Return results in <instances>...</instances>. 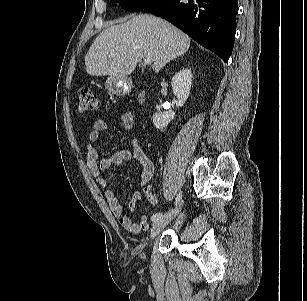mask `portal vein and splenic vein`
I'll return each mask as SVG.
<instances>
[{"instance_id":"1","label":"portal vein and splenic vein","mask_w":307,"mask_h":301,"mask_svg":"<svg viewBox=\"0 0 307 301\" xmlns=\"http://www.w3.org/2000/svg\"><path fill=\"white\" fill-rule=\"evenodd\" d=\"M143 60H144V63L148 65L153 62V59L151 57H144Z\"/></svg>"}]
</instances>
